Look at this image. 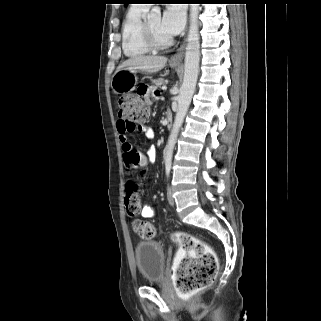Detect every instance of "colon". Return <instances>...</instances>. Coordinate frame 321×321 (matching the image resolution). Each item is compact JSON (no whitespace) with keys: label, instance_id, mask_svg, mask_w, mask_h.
I'll use <instances>...</instances> for the list:
<instances>
[{"label":"colon","instance_id":"5ec220e1","mask_svg":"<svg viewBox=\"0 0 321 321\" xmlns=\"http://www.w3.org/2000/svg\"><path fill=\"white\" fill-rule=\"evenodd\" d=\"M143 101L136 95L124 96L119 100V119L131 131L139 129L148 119V106ZM146 163V159L137 151L125 161L126 167L131 170L142 168ZM140 197L138 185L129 181L125 186V207L129 216L138 213ZM133 228L141 238L151 239L155 236V228L150 222H137ZM172 237L180 246L172 271L174 283L179 294L188 297L214 281L219 268L218 260L214 251L196 236L178 231Z\"/></svg>","mask_w":321,"mask_h":321}]
</instances>
